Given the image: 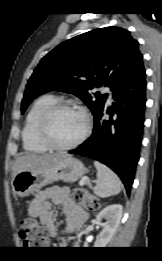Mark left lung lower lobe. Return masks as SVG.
Segmentation results:
<instances>
[{"label": "left lung lower lobe", "mask_w": 162, "mask_h": 261, "mask_svg": "<svg viewBox=\"0 0 162 261\" xmlns=\"http://www.w3.org/2000/svg\"><path fill=\"white\" fill-rule=\"evenodd\" d=\"M114 103L94 114L92 135L69 153L90 157L110 167L129 194L139 160L146 104L145 68L141 62L112 89Z\"/></svg>", "instance_id": "obj_1"}]
</instances>
